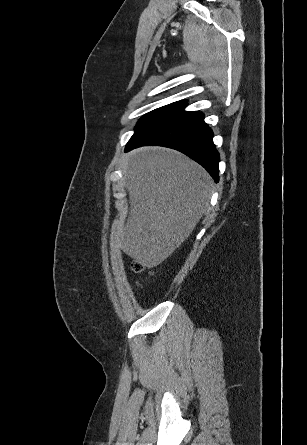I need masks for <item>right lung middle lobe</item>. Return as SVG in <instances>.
<instances>
[{"mask_svg":"<svg viewBox=\"0 0 307 445\" xmlns=\"http://www.w3.org/2000/svg\"><path fill=\"white\" fill-rule=\"evenodd\" d=\"M184 105L183 102H174L169 105L160 107L158 109H155L147 114H145L137 123L135 127V133L140 131L141 129L145 128L149 124L155 122L156 120L160 119L161 117L172 113L182 107Z\"/></svg>","mask_w":307,"mask_h":445,"instance_id":"dd1d6c3e","label":"right lung middle lobe"}]
</instances>
